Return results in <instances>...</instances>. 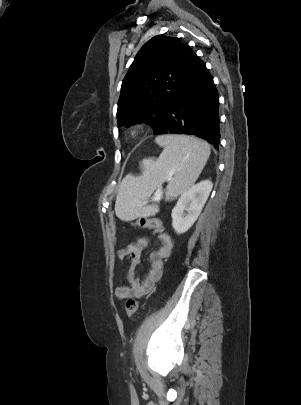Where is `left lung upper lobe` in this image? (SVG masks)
<instances>
[{"mask_svg":"<svg viewBox=\"0 0 301 405\" xmlns=\"http://www.w3.org/2000/svg\"><path fill=\"white\" fill-rule=\"evenodd\" d=\"M194 54L178 38L158 35L146 42L122 82L118 126L145 122L155 134L188 73Z\"/></svg>","mask_w":301,"mask_h":405,"instance_id":"1","label":"left lung upper lobe"}]
</instances>
